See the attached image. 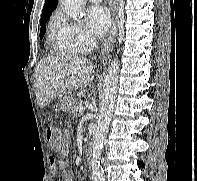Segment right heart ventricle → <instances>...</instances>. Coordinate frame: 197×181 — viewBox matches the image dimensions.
Wrapping results in <instances>:
<instances>
[{
  "mask_svg": "<svg viewBox=\"0 0 197 181\" xmlns=\"http://www.w3.org/2000/svg\"><path fill=\"white\" fill-rule=\"evenodd\" d=\"M48 43L52 54L63 57L76 56L79 51L69 30L60 18H53L49 24Z\"/></svg>",
  "mask_w": 197,
  "mask_h": 181,
  "instance_id": "obj_1",
  "label": "right heart ventricle"
}]
</instances>
